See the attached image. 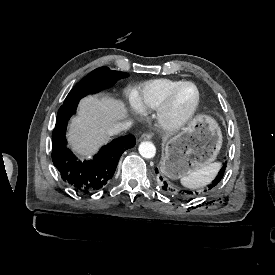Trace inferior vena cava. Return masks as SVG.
<instances>
[{
  "label": "inferior vena cava",
  "mask_w": 275,
  "mask_h": 275,
  "mask_svg": "<svg viewBox=\"0 0 275 275\" xmlns=\"http://www.w3.org/2000/svg\"><path fill=\"white\" fill-rule=\"evenodd\" d=\"M131 122L118 123L114 127L107 129L109 135L118 134L123 130L128 129L131 126Z\"/></svg>",
  "instance_id": "602c4592"
}]
</instances>
